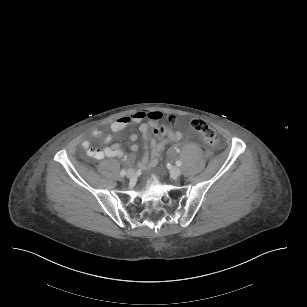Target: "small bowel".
I'll use <instances>...</instances> for the list:
<instances>
[{
  "instance_id": "small-bowel-1",
  "label": "small bowel",
  "mask_w": 307,
  "mask_h": 307,
  "mask_svg": "<svg viewBox=\"0 0 307 307\" xmlns=\"http://www.w3.org/2000/svg\"><path fill=\"white\" fill-rule=\"evenodd\" d=\"M162 119V113L159 111H136L126 116H122L111 124V129L114 132H119L124 130L131 124H139L140 123V131L142 133V137L144 140V157L139 162V166L142 169H148L154 167L158 159L163 152L165 146L171 142L179 141L182 138V133L179 131H173L170 135H165L162 141L158 144H150L145 139V132L146 130L155 125L159 124V121ZM145 121V122H144ZM92 136L94 138H102V142L104 144H108L111 141L110 135H103L102 130L96 128L92 131ZM131 150L133 152L138 150V145L135 143L137 140V135L132 134L130 136ZM82 148L86 151V153L97 160L104 159L105 157H122L123 152L119 144H114L112 146L105 147L103 149H95L92 148L90 142L85 140L82 142ZM127 162L133 161V155L125 157Z\"/></svg>"
}]
</instances>
